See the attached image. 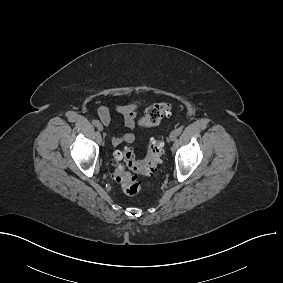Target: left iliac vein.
Segmentation results:
<instances>
[{
  "label": "left iliac vein",
  "instance_id": "left-iliac-vein-1",
  "mask_svg": "<svg viewBox=\"0 0 283 283\" xmlns=\"http://www.w3.org/2000/svg\"><path fill=\"white\" fill-rule=\"evenodd\" d=\"M177 132H176V130H173L171 133H170V135H169V138H170V140L171 141H174L176 138H177Z\"/></svg>",
  "mask_w": 283,
  "mask_h": 283
}]
</instances>
